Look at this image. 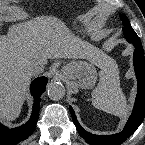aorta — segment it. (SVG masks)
I'll list each match as a JSON object with an SVG mask.
<instances>
[{
    "mask_svg": "<svg viewBox=\"0 0 145 145\" xmlns=\"http://www.w3.org/2000/svg\"><path fill=\"white\" fill-rule=\"evenodd\" d=\"M47 94L51 100H60L65 95V88L61 83L51 82L47 87Z\"/></svg>",
    "mask_w": 145,
    "mask_h": 145,
    "instance_id": "1",
    "label": "aorta"
}]
</instances>
